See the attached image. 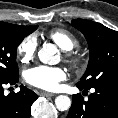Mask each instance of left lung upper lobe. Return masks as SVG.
<instances>
[{
    "label": "left lung upper lobe",
    "instance_id": "1",
    "mask_svg": "<svg viewBox=\"0 0 118 118\" xmlns=\"http://www.w3.org/2000/svg\"><path fill=\"white\" fill-rule=\"evenodd\" d=\"M89 46L87 70L77 83L85 89L106 84H118V32L85 19L72 20Z\"/></svg>",
    "mask_w": 118,
    "mask_h": 118
}]
</instances>
